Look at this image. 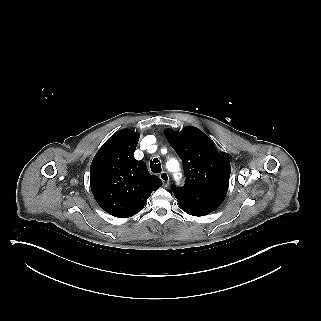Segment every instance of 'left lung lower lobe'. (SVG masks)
<instances>
[{
	"mask_svg": "<svg viewBox=\"0 0 321 321\" xmlns=\"http://www.w3.org/2000/svg\"><path fill=\"white\" fill-rule=\"evenodd\" d=\"M227 190L175 191L174 195L180 208L193 216H204L215 211L223 202Z\"/></svg>",
	"mask_w": 321,
	"mask_h": 321,
	"instance_id": "left-lung-lower-lobe-1",
	"label": "left lung lower lobe"
}]
</instances>
